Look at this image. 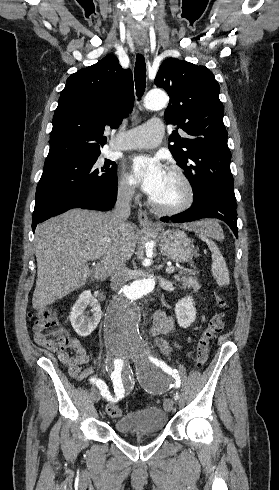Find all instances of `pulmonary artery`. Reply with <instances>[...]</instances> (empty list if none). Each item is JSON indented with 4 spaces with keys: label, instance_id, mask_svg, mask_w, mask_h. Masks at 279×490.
Returning <instances> with one entry per match:
<instances>
[{
    "label": "pulmonary artery",
    "instance_id": "1",
    "mask_svg": "<svg viewBox=\"0 0 279 490\" xmlns=\"http://www.w3.org/2000/svg\"><path fill=\"white\" fill-rule=\"evenodd\" d=\"M165 129V122H160L158 117H146L145 124L142 126L122 128L120 131L115 130L114 134H120L122 137H114L113 145L121 146L119 147L120 150L155 147L159 144Z\"/></svg>",
    "mask_w": 279,
    "mask_h": 490
}]
</instances>
